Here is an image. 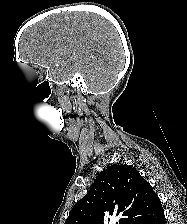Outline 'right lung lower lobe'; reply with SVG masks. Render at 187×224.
Wrapping results in <instances>:
<instances>
[{"mask_svg":"<svg viewBox=\"0 0 187 224\" xmlns=\"http://www.w3.org/2000/svg\"><path fill=\"white\" fill-rule=\"evenodd\" d=\"M138 224H165L164 212H160L156 217L142 220Z\"/></svg>","mask_w":187,"mask_h":224,"instance_id":"98d812e1","label":"right lung lower lobe"}]
</instances>
